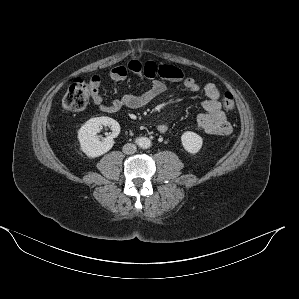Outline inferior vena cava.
Masks as SVG:
<instances>
[{"mask_svg": "<svg viewBox=\"0 0 299 299\" xmlns=\"http://www.w3.org/2000/svg\"><path fill=\"white\" fill-rule=\"evenodd\" d=\"M137 150V146L133 143H127L123 146V152L125 154H134Z\"/></svg>", "mask_w": 299, "mask_h": 299, "instance_id": "1", "label": "inferior vena cava"}]
</instances>
